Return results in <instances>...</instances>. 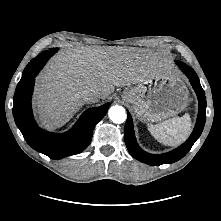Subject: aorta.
<instances>
[{"label":"aorta","mask_w":221,"mask_h":221,"mask_svg":"<svg viewBox=\"0 0 221 221\" xmlns=\"http://www.w3.org/2000/svg\"><path fill=\"white\" fill-rule=\"evenodd\" d=\"M108 115L114 123L118 124L123 123L127 117L125 109L120 105L110 107Z\"/></svg>","instance_id":"762f6f07"}]
</instances>
